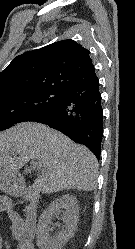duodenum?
Here are the masks:
<instances>
[{
    "instance_id": "1",
    "label": "duodenum",
    "mask_w": 135,
    "mask_h": 249,
    "mask_svg": "<svg viewBox=\"0 0 135 249\" xmlns=\"http://www.w3.org/2000/svg\"><path fill=\"white\" fill-rule=\"evenodd\" d=\"M23 197L29 203V215H34V212L37 211L38 203H39V195L38 192L32 187H25L22 190Z\"/></svg>"
}]
</instances>
